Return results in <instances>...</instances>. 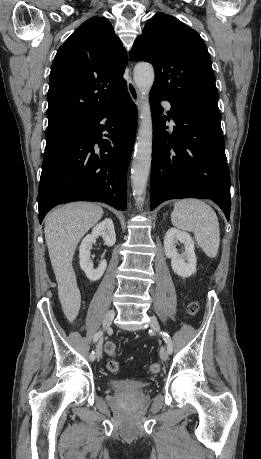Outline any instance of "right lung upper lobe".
<instances>
[{"mask_svg": "<svg viewBox=\"0 0 261 459\" xmlns=\"http://www.w3.org/2000/svg\"><path fill=\"white\" fill-rule=\"evenodd\" d=\"M126 50L108 20L92 17L59 48L48 91V126L86 122L127 91Z\"/></svg>", "mask_w": 261, "mask_h": 459, "instance_id": "1", "label": "right lung upper lobe"}]
</instances>
